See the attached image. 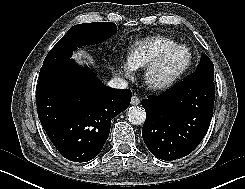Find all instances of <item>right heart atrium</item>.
<instances>
[{
    "mask_svg": "<svg viewBox=\"0 0 245 189\" xmlns=\"http://www.w3.org/2000/svg\"><path fill=\"white\" fill-rule=\"evenodd\" d=\"M119 64V70H120V73L127 77V78H130L132 77L133 75V72H134V68L131 66V64L129 63V61H122L120 60L118 62Z\"/></svg>",
    "mask_w": 245,
    "mask_h": 189,
    "instance_id": "obj_1",
    "label": "right heart atrium"
}]
</instances>
